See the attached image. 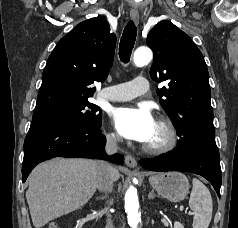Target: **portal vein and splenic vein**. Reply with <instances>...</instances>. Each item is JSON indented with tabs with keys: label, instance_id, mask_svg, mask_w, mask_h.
<instances>
[{
	"label": "portal vein and splenic vein",
	"instance_id": "1",
	"mask_svg": "<svg viewBox=\"0 0 238 228\" xmlns=\"http://www.w3.org/2000/svg\"><path fill=\"white\" fill-rule=\"evenodd\" d=\"M180 210L182 211V210H183V208L181 207V208H180ZM188 214H190V215H191V214H193V213H192V212H188Z\"/></svg>",
	"mask_w": 238,
	"mask_h": 228
}]
</instances>
